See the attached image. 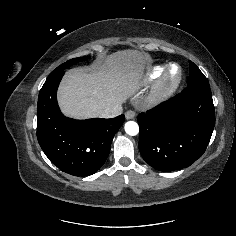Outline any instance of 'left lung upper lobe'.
Returning <instances> with one entry per match:
<instances>
[{
    "label": "left lung upper lobe",
    "mask_w": 236,
    "mask_h": 236,
    "mask_svg": "<svg viewBox=\"0 0 236 236\" xmlns=\"http://www.w3.org/2000/svg\"><path fill=\"white\" fill-rule=\"evenodd\" d=\"M189 65H190V75L187 80L188 86L200 83H208L207 78L192 61H189Z\"/></svg>",
    "instance_id": "5c2ea615"
}]
</instances>
